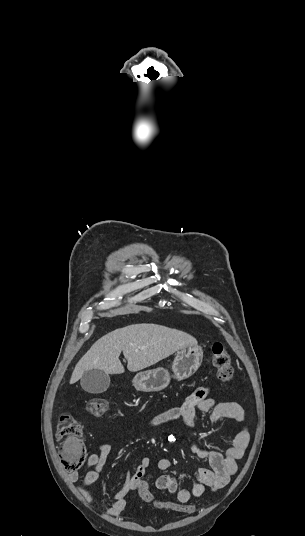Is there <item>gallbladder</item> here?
Masks as SVG:
<instances>
[{
	"instance_id": "obj_1",
	"label": "gallbladder",
	"mask_w": 305,
	"mask_h": 536,
	"mask_svg": "<svg viewBox=\"0 0 305 536\" xmlns=\"http://www.w3.org/2000/svg\"><path fill=\"white\" fill-rule=\"evenodd\" d=\"M80 384L89 394H102L106 392L107 388L110 386V376L105 374L103 370H86L84 372Z\"/></svg>"
}]
</instances>
